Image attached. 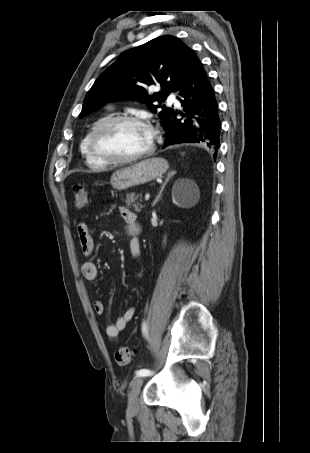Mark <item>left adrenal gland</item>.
Returning <instances> with one entry per match:
<instances>
[{
	"label": "left adrenal gland",
	"instance_id": "a2214340",
	"mask_svg": "<svg viewBox=\"0 0 310 453\" xmlns=\"http://www.w3.org/2000/svg\"><path fill=\"white\" fill-rule=\"evenodd\" d=\"M175 173H176V171H174V170H171V171H169V172L167 173V178H166L165 182L163 183V185L161 186V189H160L158 195L156 196L155 200L153 201L152 207H154L155 204L160 200V198H161V196H162V192H163V190H164V188H165L167 182L169 181V179H170Z\"/></svg>",
	"mask_w": 310,
	"mask_h": 453
}]
</instances>
